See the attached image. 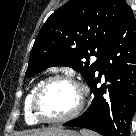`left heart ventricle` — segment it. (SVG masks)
<instances>
[{"instance_id": "1", "label": "left heart ventricle", "mask_w": 136, "mask_h": 136, "mask_svg": "<svg viewBox=\"0 0 136 136\" xmlns=\"http://www.w3.org/2000/svg\"><path fill=\"white\" fill-rule=\"evenodd\" d=\"M78 94L76 89L64 81H54L42 92L38 109L48 118H58L70 113L76 106Z\"/></svg>"}]
</instances>
